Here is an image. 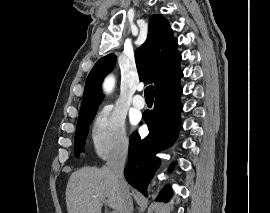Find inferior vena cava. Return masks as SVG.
Wrapping results in <instances>:
<instances>
[{
	"mask_svg": "<svg viewBox=\"0 0 270 213\" xmlns=\"http://www.w3.org/2000/svg\"><path fill=\"white\" fill-rule=\"evenodd\" d=\"M128 154V144L122 143L116 146L110 153L107 160V169L116 181L122 197L121 213H132L133 204L128 184L124 178V166Z\"/></svg>",
	"mask_w": 270,
	"mask_h": 213,
	"instance_id": "obj_1",
	"label": "inferior vena cava"
}]
</instances>
